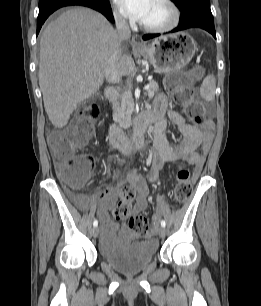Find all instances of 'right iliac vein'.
<instances>
[{"label":"right iliac vein","instance_id":"right-iliac-vein-1","mask_svg":"<svg viewBox=\"0 0 261 306\" xmlns=\"http://www.w3.org/2000/svg\"><path fill=\"white\" fill-rule=\"evenodd\" d=\"M98 235H99V228H98V227H94V228L92 229V236H93L94 238H96V237H98Z\"/></svg>","mask_w":261,"mask_h":306}]
</instances>
